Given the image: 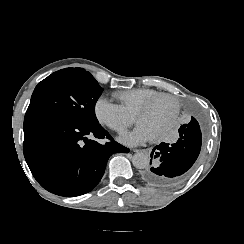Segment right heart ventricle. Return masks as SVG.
Masks as SVG:
<instances>
[{
  "mask_svg": "<svg viewBox=\"0 0 244 244\" xmlns=\"http://www.w3.org/2000/svg\"><path fill=\"white\" fill-rule=\"evenodd\" d=\"M112 96L118 99L123 106H125L130 112L133 114L136 113L140 108H142L143 104L147 101L150 104V100L154 97H161L162 94L150 90V89H136V90H127L124 92H114ZM165 102V101H164ZM173 111V110H172ZM149 129V128H148ZM150 130V129H149ZM154 133L152 130H150ZM155 134V133H154Z\"/></svg>",
  "mask_w": 244,
  "mask_h": 244,
  "instance_id": "right-heart-ventricle-1",
  "label": "right heart ventricle"
}]
</instances>
